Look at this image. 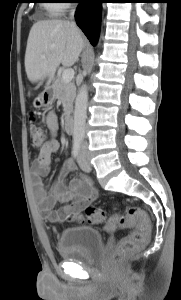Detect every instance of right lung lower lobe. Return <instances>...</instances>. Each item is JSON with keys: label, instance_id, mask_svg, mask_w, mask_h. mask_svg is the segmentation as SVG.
<instances>
[{"label": "right lung lower lobe", "instance_id": "obj_1", "mask_svg": "<svg viewBox=\"0 0 181 300\" xmlns=\"http://www.w3.org/2000/svg\"><path fill=\"white\" fill-rule=\"evenodd\" d=\"M102 2L103 0H78L75 14L77 25L93 46L98 40Z\"/></svg>", "mask_w": 181, "mask_h": 300}]
</instances>
